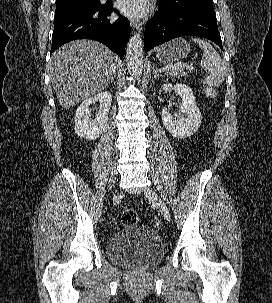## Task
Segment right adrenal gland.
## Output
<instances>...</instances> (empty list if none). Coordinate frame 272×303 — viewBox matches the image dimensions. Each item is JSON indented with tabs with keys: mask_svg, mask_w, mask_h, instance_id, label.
I'll use <instances>...</instances> for the list:
<instances>
[{
	"mask_svg": "<svg viewBox=\"0 0 272 303\" xmlns=\"http://www.w3.org/2000/svg\"><path fill=\"white\" fill-rule=\"evenodd\" d=\"M115 77H116V74H114V76L111 78L110 83H112L114 81Z\"/></svg>",
	"mask_w": 272,
	"mask_h": 303,
	"instance_id": "1",
	"label": "right adrenal gland"
}]
</instances>
